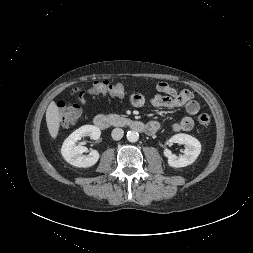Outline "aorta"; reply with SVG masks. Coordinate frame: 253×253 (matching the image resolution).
<instances>
[{
  "mask_svg": "<svg viewBox=\"0 0 253 253\" xmlns=\"http://www.w3.org/2000/svg\"><path fill=\"white\" fill-rule=\"evenodd\" d=\"M139 139V134L136 131H128L127 132V140L129 142H137Z\"/></svg>",
  "mask_w": 253,
  "mask_h": 253,
  "instance_id": "762f6f07",
  "label": "aorta"
}]
</instances>
